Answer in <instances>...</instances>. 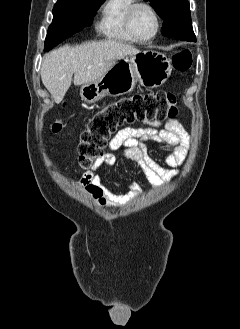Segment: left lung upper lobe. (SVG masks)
<instances>
[{
  "label": "left lung upper lobe",
  "mask_w": 240,
  "mask_h": 329,
  "mask_svg": "<svg viewBox=\"0 0 240 329\" xmlns=\"http://www.w3.org/2000/svg\"><path fill=\"white\" fill-rule=\"evenodd\" d=\"M164 19L161 32L166 37L195 41L188 0H146Z\"/></svg>",
  "instance_id": "obj_1"
}]
</instances>
